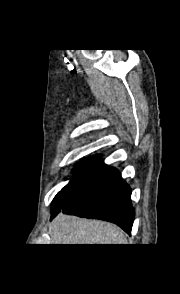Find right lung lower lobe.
Listing matches in <instances>:
<instances>
[{
    "mask_svg": "<svg viewBox=\"0 0 180 294\" xmlns=\"http://www.w3.org/2000/svg\"><path fill=\"white\" fill-rule=\"evenodd\" d=\"M51 218L58 213L102 219L128 234L134 221L131 189L116 168L107 167L99 156L90 158L73 182L53 201Z\"/></svg>",
    "mask_w": 180,
    "mask_h": 294,
    "instance_id": "right-lung-lower-lobe-1",
    "label": "right lung lower lobe"
}]
</instances>
